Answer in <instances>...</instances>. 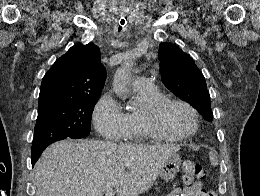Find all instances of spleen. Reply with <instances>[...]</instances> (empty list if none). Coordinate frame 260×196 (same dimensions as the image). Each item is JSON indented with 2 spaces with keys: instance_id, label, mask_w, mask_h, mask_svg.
I'll use <instances>...</instances> for the list:
<instances>
[{
  "instance_id": "1",
  "label": "spleen",
  "mask_w": 260,
  "mask_h": 196,
  "mask_svg": "<svg viewBox=\"0 0 260 196\" xmlns=\"http://www.w3.org/2000/svg\"><path fill=\"white\" fill-rule=\"evenodd\" d=\"M209 158H210L211 166H218V160L215 154H213V152H209Z\"/></svg>"
}]
</instances>
